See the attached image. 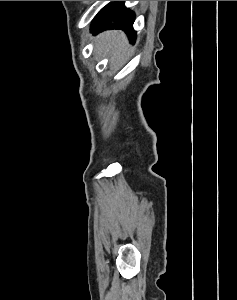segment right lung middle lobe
I'll return each instance as SVG.
<instances>
[{
  "mask_svg": "<svg viewBox=\"0 0 237 300\" xmlns=\"http://www.w3.org/2000/svg\"><path fill=\"white\" fill-rule=\"evenodd\" d=\"M114 4H115V3H112V4H109V5H107L106 7H104V8L99 12V14L96 16V18L94 19V22L100 20ZM94 22H93V23H94Z\"/></svg>",
  "mask_w": 237,
  "mask_h": 300,
  "instance_id": "1",
  "label": "right lung middle lobe"
}]
</instances>
